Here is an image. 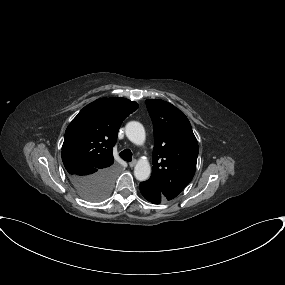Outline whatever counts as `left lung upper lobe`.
<instances>
[{
    "label": "left lung upper lobe",
    "instance_id": "obj_1",
    "mask_svg": "<svg viewBox=\"0 0 285 285\" xmlns=\"http://www.w3.org/2000/svg\"><path fill=\"white\" fill-rule=\"evenodd\" d=\"M154 126V149L150 182L169 200L192 180L199 147L187 117L174 105L160 100L145 101Z\"/></svg>",
    "mask_w": 285,
    "mask_h": 285
}]
</instances>
